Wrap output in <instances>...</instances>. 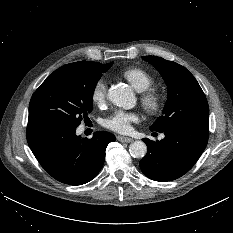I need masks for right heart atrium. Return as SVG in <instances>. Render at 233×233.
<instances>
[{
	"mask_svg": "<svg viewBox=\"0 0 233 233\" xmlns=\"http://www.w3.org/2000/svg\"><path fill=\"white\" fill-rule=\"evenodd\" d=\"M92 101L101 106L105 103L107 98V83L103 79H99L93 86L91 93Z\"/></svg>",
	"mask_w": 233,
	"mask_h": 233,
	"instance_id": "right-heart-atrium-1",
	"label": "right heart atrium"
}]
</instances>
